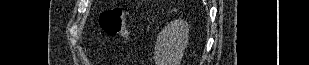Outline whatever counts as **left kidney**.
I'll return each instance as SVG.
<instances>
[{"mask_svg":"<svg viewBox=\"0 0 309 65\" xmlns=\"http://www.w3.org/2000/svg\"><path fill=\"white\" fill-rule=\"evenodd\" d=\"M188 23L176 19L158 34L154 51L155 65H180L189 37Z\"/></svg>","mask_w":309,"mask_h":65,"instance_id":"1","label":"left kidney"}]
</instances>
